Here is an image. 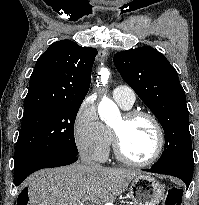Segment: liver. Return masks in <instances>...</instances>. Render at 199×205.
Returning a JSON list of instances; mask_svg holds the SVG:
<instances>
[{"label": "liver", "mask_w": 199, "mask_h": 205, "mask_svg": "<svg viewBox=\"0 0 199 205\" xmlns=\"http://www.w3.org/2000/svg\"><path fill=\"white\" fill-rule=\"evenodd\" d=\"M140 173L80 163L40 170L27 180L29 205H80L90 201L91 196L113 202Z\"/></svg>", "instance_id": "obj_1"}]
</instances>
